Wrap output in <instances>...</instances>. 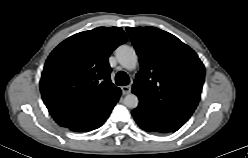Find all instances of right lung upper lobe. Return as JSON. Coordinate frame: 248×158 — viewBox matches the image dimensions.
Listing matches in <instances>:
<instances>
[{
    "label": "right lung upper lobe",
    "mask_w": 248,
    "mask_h": 158,
    "mask_svg": "<svg viewBox=\"0 0 248 158\" xmlns=\"http://www.w3.org/2000/svg\"><path fill=\"white\" fill-rule=\"evenodd\" d=\"M126 41L120 27H98L67 38L51 52L40 90L60 126L68 128L96 117L121 93L110 80L108 57Z\"/></svg>",
    "instance_id": "cb5924a9"
}]
</instances>
